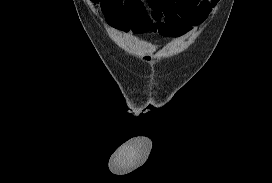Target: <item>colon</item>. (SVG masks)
<instances>
[{"mask_svg": "<svg viewBox=\"0 0 272 183\" xmlns=\"http://www.w3.org/2000/svg\"><path fill=\"white\" fill-rule=\"evenodd\" d=\"M92 1L97 3V2H99L100 0H92Z\"/></svg>", "mask_w": 272, "mask_h": 183, "instance_id": "1", "label": "colon"}]
</instances>
